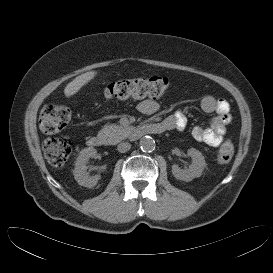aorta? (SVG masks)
<instances>
[{"instance_id":"762f6f07","label":"aorta","mask_w":273,"mask_h":273,"mask_svg":"<svg viewBox=\"0 0 273 273\" xmlns=\"http://www.w3.org/2000/svg\"><path fill=\"white\" fill-rule=\"evenodd\" d=\"M139 146L144 152H151L155 149V140L150 136H143L140 139Z\"/></svg>"}]
</instances>
